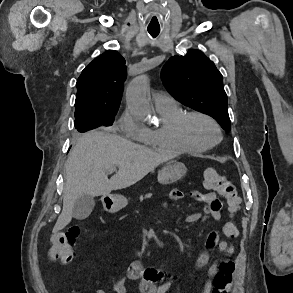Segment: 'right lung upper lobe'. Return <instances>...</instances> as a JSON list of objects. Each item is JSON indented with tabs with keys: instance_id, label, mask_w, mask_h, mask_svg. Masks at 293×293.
I'll return each instance as SVG.
<instances>
[{
	"instance_id": "cb5924a9",
	"label": "right lung upper lobe",
	"mask_w": 293,
	"mask_h": 293,
	"mask_svg": "<svg viewBox=\"0 0 293 293\" xmlns=\"http://www.w3.org/2000/svg\"><path fill=\"white\" fill-rule=\"evenodd\" d=\"M126 76L125 59L117 51L107 50L98 56L76 83V111L117 112Z\"/></svg>"
}]
</instances>
